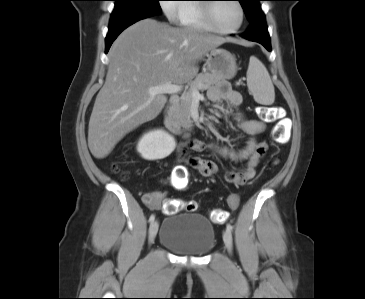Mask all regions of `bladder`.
Wrapping results in <instances>:
<instances>
[{"mask_svg":"<svg viewBox=\"0 0 365 299\" xmlns=\"http://www.w3.org/2000/svg\"><path fill=\"white\" fill-rule=\"evenodd\" d=\"M158 240L175 253L202 256L215 247L216 232L211 221L204 215L170 214L163 222Z\"/></svg>","mask_w":365,"mask_h":299,"instance_id":"bladder-1","label":"bladder"}]
</instances>
